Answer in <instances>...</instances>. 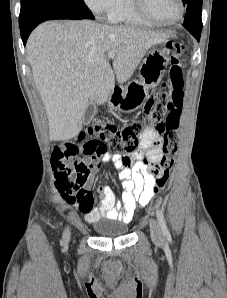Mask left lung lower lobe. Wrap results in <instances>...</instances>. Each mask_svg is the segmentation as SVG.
Returning a JSON list of instances; mask_svg holds the SVG:
<instances>
[{
  "label": "left lung lower lobe",
  "mask_w": 227,
  "mask_h": 298,
  "mask_svg": "<svg viewBox=\"0 0 227 298\" xmlns=\"http://www.w3.org/2000/svg\"><path fill=\"white\" fill-rule=\"evenodd\" d=\"M195 38L199 41L200 40V36H195Z\"/></svg>",
  "instance_id": "1"
}]
</instances>
